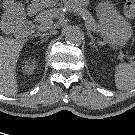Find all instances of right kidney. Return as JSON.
<instances>
[{
    "label": "right kidney",
    "mask_w": 135,
    "mask_h": 135,
    "mask_svg": "<svg viewBox=\"0 0 135 135\" xmlns=\"http://www.w3.org/2000/svg\"><path fill=\"white\" fill-rule=\"evenodd\" d=\"M35 69V61H32L31 63L26 62L23 66V72L27 74H31Z\"/></svg>",
    "instance_id": "ca27d5eb"
}]
</instances>
